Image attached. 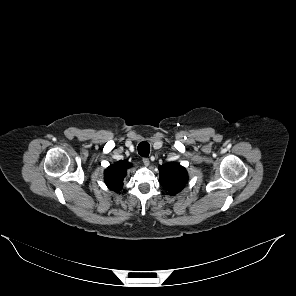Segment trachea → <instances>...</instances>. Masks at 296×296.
I'll use <instances>...</instances> for the list:
<instances>
[{
    "mask_svg": "<svg viewBox=\"0 0 296 296\" xmlns=\"http://www.w3.org/2000/svg\"><path fill=\"white\" fill-rule=\"evenodd\" d=\"M138 153L142 156V157H148L149 153H150V145L148 142L143 141L141 143H139L138 145Z\"/></svg>",
    "mask_w": 296,
    "mask_h": 296,
    "instance_id": "trachea-1",
    "label": "trachea"
}]
</instances>
